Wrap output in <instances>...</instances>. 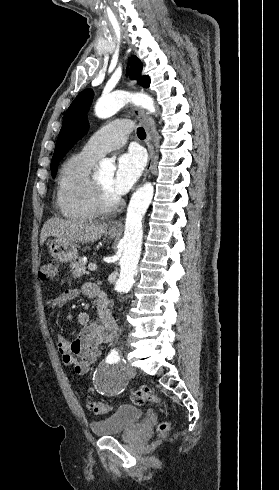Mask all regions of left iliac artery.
<instances>
[{
	"mask_svg": "<svg viewBox=\"0 0 279 490\" xmlns=\"http://www.w3.org/2000/svg\"><path fill=\"white\" fill-rule=\"evenodd\" d=\"M120 360V357L118 355V352L114 349L111 351V353L107 357V362H118Z\"/></svg>",
	"mask_w": 279,
	"mask_h": 490,
	"instance_id": "left-iliac-artery-1",
	"label": "left iliac artery"
}]
</instances>
